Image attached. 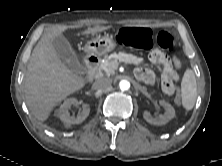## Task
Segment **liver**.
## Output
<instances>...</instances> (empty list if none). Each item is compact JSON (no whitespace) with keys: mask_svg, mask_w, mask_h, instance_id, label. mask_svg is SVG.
<instances>
[{"mask_svg":"<svg viewBox=\"0 0 222 166\" xmlns=\"http://www.w3.org/2000/svg\"><path fill=\"white\" fill-rule=\"evenodd\" d=\"M110 26L87 28L82 34H95ZM67 30L57 25L43 34L31 54L24 78L26 104L39 121H45L53 107L85 86L82 73H75L63 64L53 47V39Z\"/></svg>","mask_w":222,"mask_h":166,"instance_id":"obj_1","label":"liver"}]
</instances>
